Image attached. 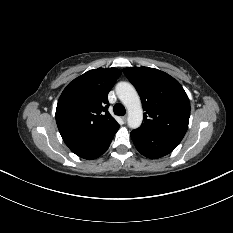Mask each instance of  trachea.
I'll return each instance as SVG.
<instances>
[{"label":"trachea","mask_w":233,"mask_h":233,"mask_svg":"<svg viewBox=\"0 0 233 233\" xmlns=\"http://www.w3.org/2000/svg\"><path fill=\"white\" fill-rule=\"evenodd\" d=\"M113 110H114L115 115H118V116H123L125 115V112H126L125 107L120 103H116L113 107Z\"/></svg>","instance_id":"1"}]
</instances>
